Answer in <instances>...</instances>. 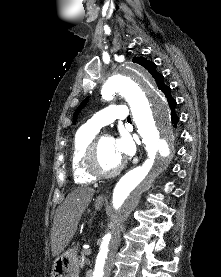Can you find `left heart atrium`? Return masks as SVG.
Wrapping results in <instances>:
<instances>
[{
  "label": "left heart atrium",
  "mask_w": 221,
  "mask_h": 277,
  "mask_svg": "<svg viewBox=\"0 0 221 277\" xmlns=\"http://www.w3.org/2000/svg\"><path fill=\"white\" fill-rule=\"evenodd\" d=\"M115 150L121 160L133 154V144L127 136H121L113 140Z\"/></svg>",
  "instance_id": "obj_1"
}]
</instances>
